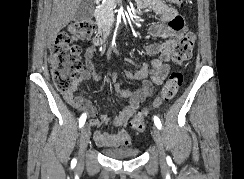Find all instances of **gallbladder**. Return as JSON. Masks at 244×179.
Listing matches in <instances>:
<instances>
[{
  "instance_id": "gallbladder-1",
  "label": "gallbladder",
  "mask_w": 244,
  "mask_h": 179,
  "mask_svg": "<svg viewBox=\"0 0 244 179\" xmlns=\"http://www.w3.org/2000/svg\"><path fill=\"white\" fill-rule=\"evenodd\" d=\"M95 10V0H81L80 6L74 14L75 22H83V20H90L93 18Z\"/></svg>"
}]
</instances>
